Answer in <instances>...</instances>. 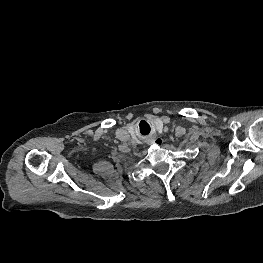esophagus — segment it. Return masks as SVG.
I'll return each instance as SVG.
<instances>
[{
  "mask_svg": "<svg viewBox=\"0 0 263 263\" xmlns=\"http://www.w3.org/2000/svg\"><path fill=\"white\" fill-rule=\"evenodd\" d=\"M154 144H157V145H161L163 143V140L161 138H156L154 141H153Z\"/></svg>",
  "mask_w": 263,
  "mask_h": 263,
  "instance_id": "esophagus-1",
  "label": "esophagus"
}]
</instances>
